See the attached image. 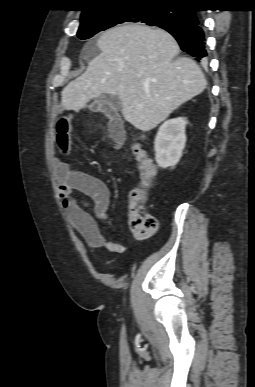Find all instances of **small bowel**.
Listing matches in <instances>:
<instances>
[{
	"mask_svg": "<svg viewBox=\"0 0 255 387\" xmlns=\"http://www.w3.org/2000/svg\"><path fill=\"white\" fill-rule=\"evenodd\" d=\"M71 131L70 118L61 117L56 125V146L61 153H68L70 149ZM109 133L116 147L124 143L125 132L120 120H111ZM54 170L59 184L58 196L61 206L73 229L92 247L123 253L124 245L110 241L102 233L96 220H107L109 217L110 190L108 186L90 174L72 169L59 156L55 157ZM74 192L91 198L92 213L87 210V202L75 198Z\"/></svg>",
	"mask_w": 255,
	"mask_h": 387,
	"instance_id": "c3829d8e",
	"label": "small bowel"
}]
</instances>
